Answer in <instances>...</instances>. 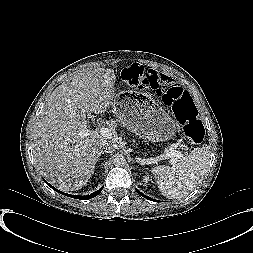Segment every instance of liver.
<instances>
[{
	"mask_svg": "<svg viewBox=\"0 0 253 253\" xmlns=\"http://www.w3.org/2000/svg\"><path fill=\"white\" fill-rule=\"evenodd\" d=\"M114 70L74 72L51 93L32 131L34 164L60 190L84 187L104 147L111 144L91 130L87 118L113 107Z\"/></svg>",
	"mask_w": 253,
	"mask_h": 253,
	"instance_id": "1",
	"label": "liver"
}]
</instances>
